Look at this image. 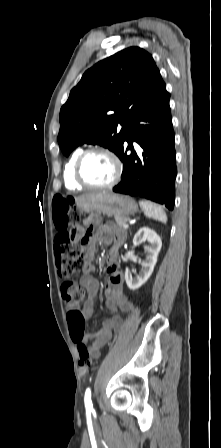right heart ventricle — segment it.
<instances>
[{
  "label": "right heart ventricle",
  "mask_w": 221,
  "mask_h": 448,
  "mask_svg": "<svg viewBox=\"0 0 221 448\" xmlns=\"http://www.w3.org/2000/svg\"><path fill=\"white\" fill-rule=\"evenodd\" d=\"M82 152H83L82 149L74 151L73 154L68 159L67 163L65 164L63 173L64 185L69 190H79L83 188V186L77 183L73 177L74 164Z\"/></svg>",
  "instance_id": "1"
}]
</instances>
